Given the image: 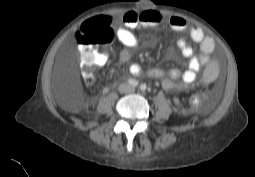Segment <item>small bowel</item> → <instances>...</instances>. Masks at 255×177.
<instances>
[{
    "label": "small bowel",
    "instance_id": "c3829d8e",
    "mask_svg": "<svg viewBox=\"0 0 255 177\" xmlns=\"http://www.w3.org/2000/svg\"><path fill=\"white\" fill-rule=\"evenodd\" d=\"M164 20V16L154 9L126 12L122 18L123 24L116 28L117 38L124 46L119 53L120 62H128L133 51L139 46V40L134 32L135 30L159 26ZM169 25L172 30L177 32H182L187 29L186 20L178 16L171 17L169 19ZM79 31L80 29L77 32ZM190 37L194 42L199 44L201 53L197 56L194 55L193 48L183 38H179L176 41V46L180 54L188 60V68L185 71L176 68L169 70L153 68L147 72L148 76L161 79L162 87L167 91H182L194 86L198 80V73L203 66H207L206 70H210L208 76H206L205 70L202 78L204 82H211L218 74L219 63L216 60H211L210 57L215 49L214 40L207 36L199 26H193L190 29ZM170 54L172 56L176 54L174 49L170 50ZM107 60V52L105 50H98L96 53V66L104 65ZM129 71L133 75H140L143 72L141 66L136 63L130 65Z\"/></svg>",
    "mask_w": 255,
    "mask_h": 177
}]
</instances>
